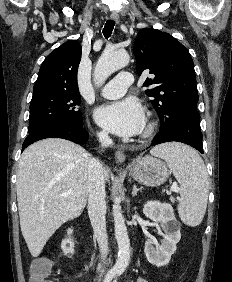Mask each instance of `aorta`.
Segmentation results:
<instances>
[{
	"label": "aorta",
	"mask_w": 232,
	"mask_h": 282,
	"mask_svg": "<svg viewBox=\"0 0 232 282\" xmlns=\"http://www.w3.org/2000/svg\"><path fill=\"white\" fill-rule=\"evenodd\" d=\"M129 61L130 56L124 50H105L95 66V84L97 86L102 85L113 72L128 65ZM113 215L115 236L119 249L118 258L113 266V271L117 274H122L130 261V241L122 209L117 199H114Z\"/></svg>",
	"instance_id": "1"
}]
</instances>
